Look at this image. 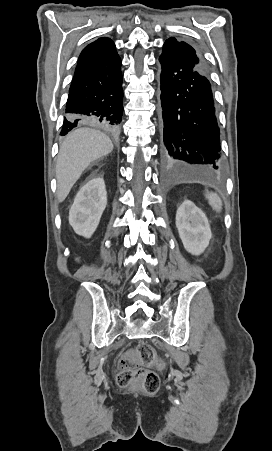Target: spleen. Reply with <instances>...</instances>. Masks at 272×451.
Instances as JSON below:
<instances>
[{"label": "spleen", "mask_w": 272, "mask_h": 451, "mask_svg": "<svg viewBox=\"0 0 272 451\" xmlns=\"http://www.w3.org/2000/svg\"><path fill=\"white\" fill-rule=\"evenodd\" d=\"M205 192V198L208 200L211 208H213L215 212H221L222 200L219 198L218 194H215V192H208V190H205Z\"/></svg>", "instance_id": "1"}]
</instances>
